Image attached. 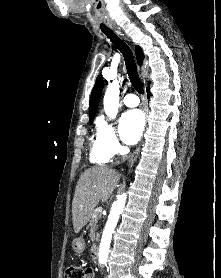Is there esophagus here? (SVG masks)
<instances>
[{"label":"esophagus","mask_w":221,"mask_h":278,"mask_svg":"<svg viewBox=\"0 0 221 278\" xmlns=\"http://www.w3.org/2000/svg\"><path fill=\"white\" fill-rule=\"evenodd\" d=\"M118 32V31H117ZM119 34H121L120 32H118ZM123 35V34H121ZM124 36V35H123ZM141 149V145H139L136 150L134 151L133 155L130 157L129 161H128V166H132L134 164V162L136 161L138 154L140 152Z\"/></svg>","instance_id":"1"}]
</instances>
